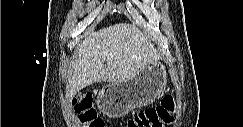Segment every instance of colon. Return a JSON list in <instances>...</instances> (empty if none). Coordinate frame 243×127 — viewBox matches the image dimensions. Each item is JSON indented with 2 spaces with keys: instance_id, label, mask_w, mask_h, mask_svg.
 <instances>
[{
  "instance_id": "colon-1",
  "label": "colon",
  "mask_w": 243,
  "mask_h": 127,
  "mask_svg": "<svg viewBox=\"0 0 243 127\" xmlns=\"http://www.w3.org/2000/svg\"><path fill=\"white\" fill-rule=\"evenodd\" d=\"M73 108L79 122L85 127H104V121L97 116L91 93H82L73 99ZM176 103L173 96L164 97L156 107L148 108L130 118L127 127H164L174 122Z\"/></svg>"
}]
</instances>
